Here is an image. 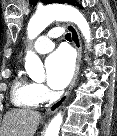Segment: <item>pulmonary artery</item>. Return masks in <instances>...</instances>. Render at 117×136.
I'll list each match as a JSON object with an SVG mask.
<instances>
[{
  "label": "pulmonary artery",
  "mask_w": 117,
  "mask_h": 136,
  "mask_svg": "<svg viewBox=\"0 0 117 136\" xmlns=\"http://www.w3.org/2000/svg\"><path fill=\"white\" fill-rule=\"evenodd\" d=\"M59 36V31H52L46 35H42L35 41L33 45L34 51L39 54H44L51 51L55 45L54 39Z\"/></svg>",
  "instance_id": "1"
}]
</instances>
